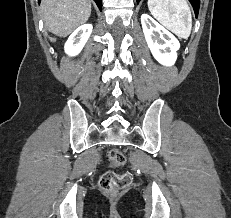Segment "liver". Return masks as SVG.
Returning a JSON list of instances; mask_svg holds the SVG:
<instances>
[{
  "label": "liver",
  "mask_w": 231,
  "mask_h": 218,
  "mask_svg": "<svg viewBox=\"0 0 231 218\" xmlns=\"http://www.w3.org/2000/svg\"><path fill=\"white\" fill-rule=\"evenodd\" d=\"M41 13L49 32L66 37L91 15V0H42Z\"/></svg>",
  "instance_id": "obj_1"
}]
</instances>
